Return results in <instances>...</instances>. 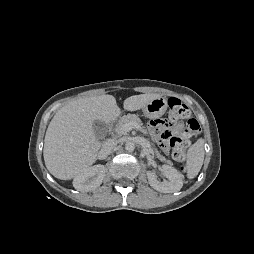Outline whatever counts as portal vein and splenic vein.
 Wrapping results in <instances>:
<instances>
[{"instance_id": "obj_1", "label": "portal vein and splenic vein", "mask_w": 254, "mask_h": 254, "mask_svg": "<svg viewBox=\"0 0 254 254\" xmlns=\"http://www.w3.org/2000/svg\"><path fill=\"white\" fill-rule=\"evenodd\" d=\"M132 129H140V126L137 123L129 122V123H126L122 126L121 131L122 132H129Z\"/></svg>"}]
</instances>
